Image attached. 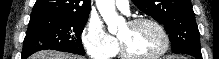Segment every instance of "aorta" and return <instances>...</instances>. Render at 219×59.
Returning a JSON list of instances; mask_svg holds the SVG:
<instances>
[{
  "label": "aorta",
  "instance_id": "762f6f07",
  "mask_svg": "<svg viewBox=\"0 0 219 59\" xmlns=\"http://www.w3.org/2000/svg\"><path fill=\"white\" fill-rule=\"evenodd\" d=\"M96 5L108 26L109 32L115 33L117 31V25L121 21L115 10V0H96Z\"/></svg>",
  "mask_w": 219,
  "mask_h": 59
}]
</instances>
